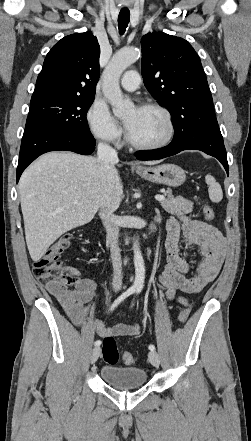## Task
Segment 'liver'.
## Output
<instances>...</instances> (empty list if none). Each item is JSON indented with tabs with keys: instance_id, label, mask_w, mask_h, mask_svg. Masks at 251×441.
I'll list each match as a JSON object with an SVG mask.
<instances>
[{
	"instance_id": "1",
	"label": "liver",
	"mask_w": 251,
	"mask_h": 441,
	"mask_svg": "<svg viewBox=\"0 0 251 441\" xmlns=\"http://www.w3.org/2000/svg\"><path fill=\"white\" fill-rule=\"evenodd\" d=\"M116 165L70 152H49L23 172L19 181L21 210L33 261L62 234L89 223L100 207H118L123 185Z\"/></svg>"
}]
</instances>
